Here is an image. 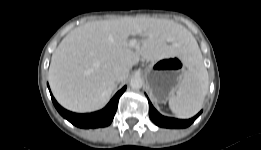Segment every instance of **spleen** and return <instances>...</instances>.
<instances>
[{"instance_id":"spleen-1","label":"spleen","mask_w":261,"mask_h":150,"mask_svg":"<svg viewBox=\"0 0 261 150\" xmlns=\"http://www.w3.org/2000/svg\"><path fill=\"white\" fill-rule=\"evenodd\" d=\"M209 88L207 69L197 44L189 48L188 70L185 72L176 94L169 98L171 111L181 119L196 115L203 106Z\"/></svg>"}]
</instances>
